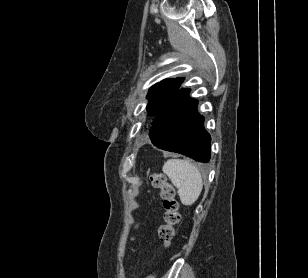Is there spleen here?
Segmentation results:
<instances>
[{
    "label": "spleen",
    "mask_w": 308,
    "mask_h": 278,
    "mask_svg": "<svg viewBox=\"0 0 308 278\" xmlns=\"http://www.w3.org/2000/svg\"><path fill=\"white\" fill-rule=\"evenodd\" d=\"M162 170L177 188L182 204H194L203 188L198 168L187 160L169 159L164 163Z\"/></svg>",
    "instance_id": "obj_1"
}]
</instances>
